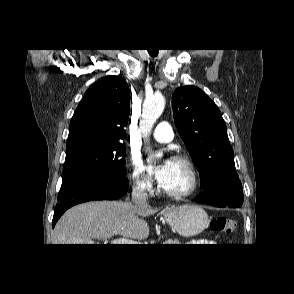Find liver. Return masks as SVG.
Instances as JSON below:
<instances>
[{"label": "liver", "mask_w": 294, "mask_h": 294, "mask_svg": "<svg viewBox=\"0 0 294 294\" xmlns=\"http://www.w3.org/2000/svg\"><path fill=\"white\" fill-rule=\"evenodd\" d=\"M157 209L131 202L92 201L72 207L57 222L53 244H93L94 239L122 235L144 239L149 235L147 222L139 216Z\"/></svg>", "instance_id": "obj_1"}]
</instances>
